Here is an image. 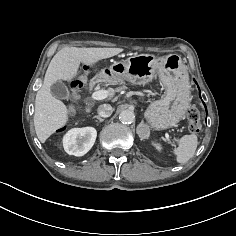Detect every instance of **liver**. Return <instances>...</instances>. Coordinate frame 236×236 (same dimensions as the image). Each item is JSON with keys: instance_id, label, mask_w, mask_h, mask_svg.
<instances>
[{"instance_id": "6515ba94", "label": "liver", "mask_w": 236, "mask_h": 236, "mask_svg": "<svg viewBox=\"0 0 236 236\" xmlns=\"http://www.w3.org/2000/svg\"><path fill=\"white\" fill-rule=\"evenodd\" d=\"M123 50V48L67 47L54 55L35 99L34 126L41 143L69 121V110L62 101L52 96L51 85L59 80L72 81L80 73L81 63L94 67L98 61L113 57ZM101 79L114 82L111 77L104 74L101 75ZM108 94L111 97L114 92L108 91Z\"/></svg>"}]
</instances>
